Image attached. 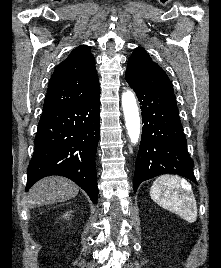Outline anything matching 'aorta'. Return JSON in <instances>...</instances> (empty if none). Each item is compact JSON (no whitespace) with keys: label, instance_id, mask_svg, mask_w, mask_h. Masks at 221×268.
Here are the masks:
<instances>
[{"label":"aorta","instance_id":"1","mask_svg":"<svg viewBox=\"0 0 221 268\" xmlns=\"http://www.w3.org/2000/svg\"><path fill=\"white\" fill-rule=\"evenodd\" d=\"M122 108L130 141L136 144L140 136V117L136 98L131 90L122 94Z\"/></svg>","mask_w":221,"mask_h":268}]
</instances>
